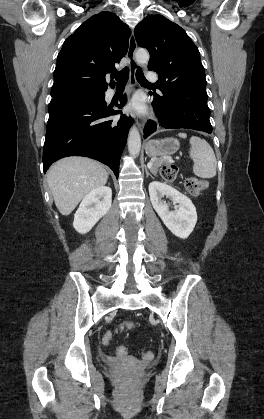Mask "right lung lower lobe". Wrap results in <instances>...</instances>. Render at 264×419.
<instances>
[{
    "label": "right lung lower lobe",
    "instance_id": "1",
    "mask_svg": "<svg viewBox=\"0 0 264 419\" xmlns=\"http://www.w3.org/2000/svg\"><path fill=\"white\" fill-rule=\"evenodd\" d=\"M105 92L99 97L52 99L43 150L44 172L66 156H86L108 165L118 177L119 161L126 144L132 118L107 106ZM126 103L122 96L121 108Z\"/></svg>",
    "mask_w": 264,
    "mask_h": 419
}]
</instances>
